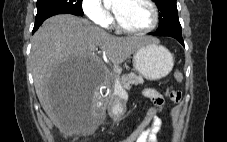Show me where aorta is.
<instances>
[{
    "mask_svg": "<svg viewBox=\"0 0 227 142\" xmlns=\"http://www.w3.org/2000/svg\"><path fill=\"white\" fill-rule=\"evenodd\" d=\"M114 0H103L104 4L107 5V4H111Z\"/></svg>",
    "mask_w": 227,
    "mask_h": 142,
    "instance_id": "762f6f07",
    "label": "aorta"
}]
</instances>
